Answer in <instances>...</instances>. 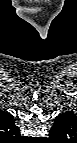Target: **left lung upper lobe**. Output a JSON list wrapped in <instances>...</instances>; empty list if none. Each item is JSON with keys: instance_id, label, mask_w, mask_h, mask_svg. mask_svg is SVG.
Returning <instances> with one entry per match:
<instances>
[{"instance_id": "obj_1", "label": "left lung upper lobe", "mask_w": 77, "mask_h": 143, "mask_svg": "<svg viewBox=\"0 0 77 143\" xmlns=\"http://www.w3.org/2000/svg\"><path fill=\"white\" fill-rule=\"evenodd\" d=\"M72 116L69 119H65V120H62V121H55V123H54L53 127L51 128L50 132L53 135H57V136L62 135L64 130H67V128L71 124Z\"/></svg>"}]
</instances>
